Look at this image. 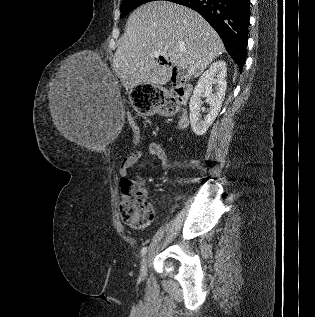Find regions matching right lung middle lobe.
<instances>
[{
	"mask_svg": "<svg viewBox=\"0 0 315 317\" xmlns=\"http://www.w3.org/2000/svg\"><path fill=\"white\" fill-rule=\"evenodd\" d=\"M151 1H157V0H123L120 10H121V16L120 18L122 19L125 17L130 11L133 9L137 8L138 6L145 4L147 2ZM166 1H171L174 2L175 0H166Z\"/></svg>",
	"mask_w": 315,
	"mask_h": 317,
	"instance_id": "dd1d6c3e",
	"label": "right lung middle lobe"
}]
</instances>
